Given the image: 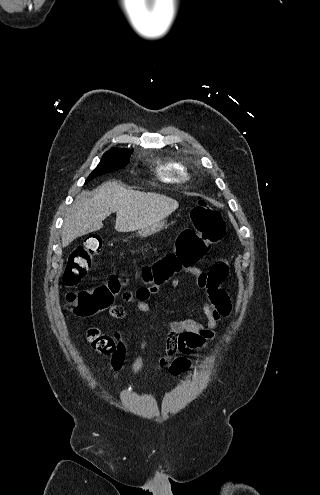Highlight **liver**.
<instances>
[{
    "label": "liver",
    "instance_id": "6515ba94",
    "mask_svg": "<svg viewBox=\"0 0 320 495\" xmlns=\"http://www.w3.org/2000/svg\"><path fill=\"white\" fill-rule=\"evenodd\" d=\"M179 203L165 195L128 190L117 181L98 187L92 196L79 194L69 208L62 228V246L91 232L100 230L109 215L116 212L115 230H140L164 219Z\"/></svg>",
    "mask_w": 320,
    "mask_h": 495
}]
</instances>
